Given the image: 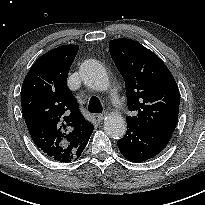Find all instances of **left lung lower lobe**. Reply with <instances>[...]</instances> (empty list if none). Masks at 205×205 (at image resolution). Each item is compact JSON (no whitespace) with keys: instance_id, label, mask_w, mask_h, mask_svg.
Listing matches in <instances>:
<instances>
[{"instance_id":"obj_1","label":"left lung lower lobe","mask_w":205,"mask_h":205,"mask_svg":"<svg viewBox=\"0 0 205 205\" xmlns=\"http://www.w3.org/2000/svg\"><path fill=\"white\" fill-rule=\"evenodd\" d=\"M171 136L172 134L127 123V132L117 143L127 160L140 163L158 155L166 147Z\"/></svg>"}]
</instances>
